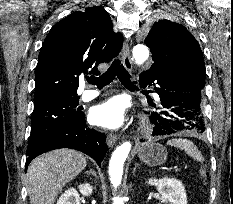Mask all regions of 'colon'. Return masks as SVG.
Returning a JSON list of instances; mask_svg holds the SVG:
<instances>
[{
	"mask_svg": "<svg viewBox=\"0 0 233 204\" xmlns=\"http://www.w3.org/2000/svg\"><path fill=\"white\" fill-rule=\"evenodd\" d=\"M199 174H200V177H201L202 181L204 183H206L207 180H208V178H209V172H208V170L205 167H202L200 169V171H199Z\"/></svg>",
	"mask_w": 233,
	"mask_h": 204,
	"instance_id": "1",
	"label": "colon"
}]
</instances>
